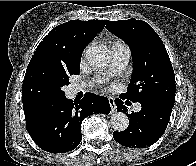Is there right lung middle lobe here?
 Instances as JSON below:
<instances>
[{
  "label": "right lung middle lobe",
  "mask_w": 196,
  "mask_h": 166,
  "mask_svg": "<svg viewBox=\"0 0 196 166\" xmlns=\"http://www.w3.org/2000/svg\"><path fill=\"white\" fill-rule=\"evenodd\" d=\"M80 67L64 69L47 60H31L22 86V103L65 96L62 87L68 85L69 75L78 74Z\"/></svg>",
  "instance_id": "right-lung-middle-lobe-1"
}]
</instances>
